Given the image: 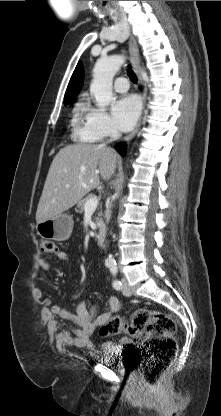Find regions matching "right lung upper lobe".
<instances>
[{
  "label": "right lung upper lobe",
  "instance_id": "obj_1",
  "mask_svg": "<svg viewBox=\"0 0 221 416\" xmlns=\"http://www.w3.org/2000/svg\"><path fill=\"white\" fill-rule=\"evenodd\" d=\"M83 82V70L80 63L77 64L72 77L70 79L68 88L65 93L64 102H73L80 91Z\"/></svg>",
  "mask_w": 221,
  "mask_h": 416
}]
</instances>
